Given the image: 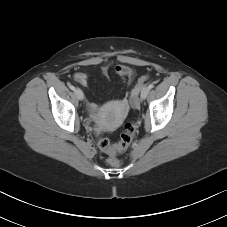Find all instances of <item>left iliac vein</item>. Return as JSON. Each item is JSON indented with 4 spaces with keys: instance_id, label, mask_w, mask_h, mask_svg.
Listing matches in <instances>:
<instances>
[{
    "instance_id": "1",
    "label": "left iliac vein",
    "mask_w": 227,
    "mask_h": 227,
    "mask_svg": "<svg viewBox=\"0 0 227 227\" xmlns=\"http://www.w3.org/2000/svg\"><path fill=\"white\" fill-rule=\"evenodd\" d=\"M149 90L150 89L148 87H144L142 89L141 94H140V97H141L142 100H144L147 97Z\"/></svg>"
}]
</instances>
